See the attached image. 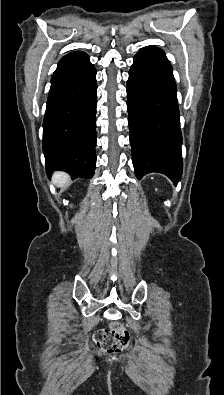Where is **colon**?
I'll use <instances>...</instances> for the list:
<instances>
[{
    "mask_svg": "<svg viewBox=\"0 0 224 395\" xmlns=\"http://www.w3.org/2000/svg\"><path fill=\"white\" fill-rule=\"evenodd\" d=\"M129 333L122 325L115 323L94 334V342L101 353H118L129 344Z\"/></svg>",
    "mask_w": 224,
    "mask_h": 395,
    "instance_id": "5ec220e1",
    "label": "colon"
}]
</instances>
